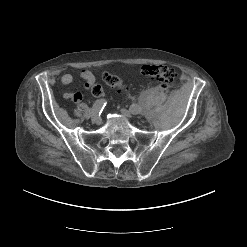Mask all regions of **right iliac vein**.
<instances>
[{
  "mask_svg": "<svg viewBox=\"0 0 247 247\" xmlns=\"http://www.w3.org/2000/svg\"><path fill=\"white\" fill-rule=\"evenodd\" d=\"M90 116H91L92 121H94L95 123L99 122V119H98L97 115L94 112L91 111L90 112Z\"/></svg>",
  "mask_w": 247,
  "mask_h": 247,
  "instance_id": "63e3f726",
  "label": "right iliac vein"
}]
</instances>
